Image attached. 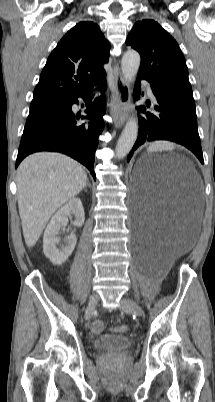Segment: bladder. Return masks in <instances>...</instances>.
Here are the masks:
<instances>
[{"label":"bladder","instance_id":"bladder-1","mask_svg":"<svg viewBox=\"0 0 215 402\" xmlns=\"http://www.w3.org/2000/svg\"><path fill=\"white\" fill-rule=\"evenodd\" d=\"M132 343L126 336L105 334L98 336L93 341V347L100 352L121 353L127 351Z\"/></svg>","mask_w":215,"mask_h":402}]
</instances>
